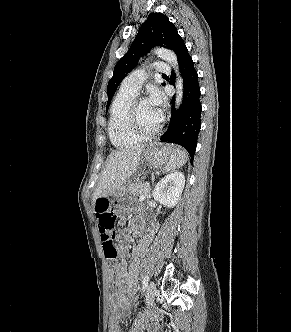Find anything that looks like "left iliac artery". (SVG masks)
I'll list each match as a JSON object with an SVG mask.
<instances>
[{
  "label": "left iliac artery",
  "instance_id": "left-iliac-artery-1",
  "mask_svg": "<svg viewBox=\"0 0 291 332\" xmlns=\"http://www.w3.org/2000/svg\"><path fill=\"white\" fill-rule=\"evenodd\" d=\"M148 281H149V277L146 275L144 278H143V281H142V289L143 291H145L147 285H148Z\"/></svg>",
  "mask_w": 291,
  "mask_h": 332
}]
</instances>
